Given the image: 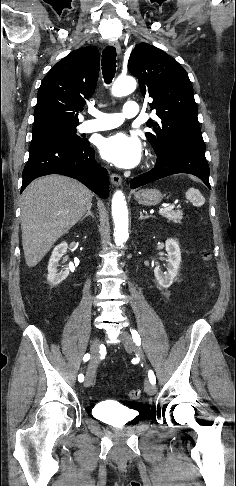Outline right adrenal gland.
Listing matches in <instances>:
<instances>
[{"label":"right adrenal gland","mask_w":236,"mask_h":486,"mask_svg":"<svg viewBox=\"0 0 236 486\" xmlns=\"http://www.w3.org/2000/svg\"><path fill=\"white\" fill-rule=\"evenodd\" d=\"M91 216L93 218V214L91 212V207L88 209L87 213L82 217L81 221L85 219L86 217Z\"/></svg>","instance_id":"2a0ac1e0"}]
</instances>
